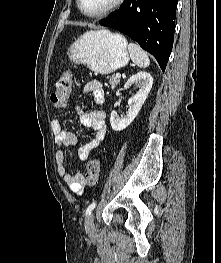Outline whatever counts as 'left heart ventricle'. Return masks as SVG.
<instances>
[{
  "label": "left heart ventricle",
  "mask_w": 221,
  "mask_h": 263,
  "mask_svg": "<svg viewBox=\"0 0 221 263\" xmlns=\"http://www.w3.org/2000/svg\"><path fill=\"white\" fill-rule=\"evenodd\" d=\"M113 0H82L83 9L89 13L102 11L112 3Z\"/></svg>",
  "instance_id": "1"
}]
</instances>
